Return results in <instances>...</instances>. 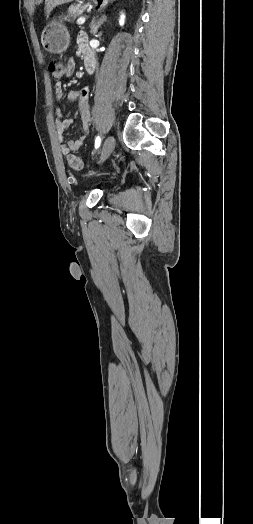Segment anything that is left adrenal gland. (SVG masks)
I'll list each match as a JSON object with an SVG mask.
<instances>
[{"mask_svg":"<svg viewBox=\"0 0 253 524\" xmlns=\"http://www.w3.org/2000/svg\"><path fill=\"white\" fill-rule=\"evenodd\" d=\"M106 17H102L101 19H99L98 21H96L95 19H93L92 23H91V33H93V35H96V33L98 32V29L99 27L106 21Z\"/></svg>","mask_w":253,"mask_h":524,"instance_id":"left-adrenal-gland-1","label":"left adrenal gland"}]
</instances>
